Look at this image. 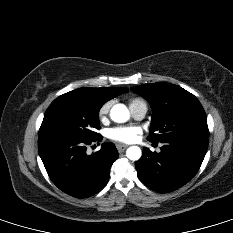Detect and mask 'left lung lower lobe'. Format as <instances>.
Instances as JSON below:
<instances>
[{"instance_id": "1", "label": "left lung lower lobe", "mask_w": 233, "mask_h": 233, "mask_svg": "<svg viewBox=\"0 0 233 233\" xmlns=\"http://www.w3.org/2000/svg\"><path fill=\"white\" fill-rule=\"evenodd\" d=\"M161 143L160 153L144 148L135 167L139 179L147 187L168 193L195 176L207 152L208 137H177Z\"/></svg>"}]
</instances>
